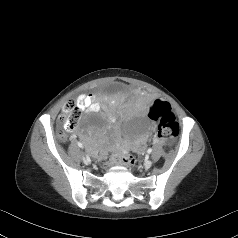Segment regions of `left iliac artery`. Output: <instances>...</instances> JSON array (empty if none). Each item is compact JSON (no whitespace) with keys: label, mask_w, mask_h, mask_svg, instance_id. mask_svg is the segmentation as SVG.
Returning a JSON list of instances; mask_svg holds the SVG:
<instances>
[{"label":"left iliac artery","mask_w":238,"mask_h":238,"mask_svg":"<svg viewBox=\"0 0 238 238\" xmlns=\"http://www.w3.org/2000/svg\"><path fill=\"white\" fill-rule=\"evenodd\" d=\"M151 152H152V148H149V149L147 150V153L150 154Z\"/></svg>","instance_id":"1"}]
</instances>
